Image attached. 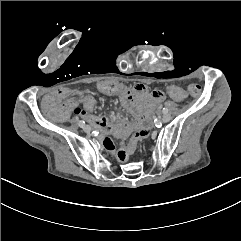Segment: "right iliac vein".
<instances>
[{
  "label": "right iliac vein",
  "mask_w": 241,
  "mask_h": 241,
  "mask_svg": "<svg viewBox=\"0 0 241 241\" xmlns=\"http://www.w3.org/2000/svg\"><path fill=\"white\" fill-rule=\"evenodd\" d=\"M84 132L89 133L91 131V127L89 125H85L83 127Z\"/></svg>",
  "instance_id": "1"
}]
</instances>
